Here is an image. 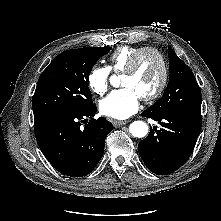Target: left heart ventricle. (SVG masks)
I'll use <instances>...</instances> for the list:
<instances>
[{"label": "left heart ventricle", "mask_w": 221, "mask_h": 221, "mask_svg": "<svg viewBox=\"0 0 221 221\" xmlns=\"http://www.w3.org/2000/svg\"><path fill=\"white\" fill-rule=\"evenodd\" d=\"M161 77L160 60L153 53H145L139 61L136 72L122 76L121 85L132 88L142 98L157 88Z\"/></svg>", "instance_id": "1"}]
</instances>
